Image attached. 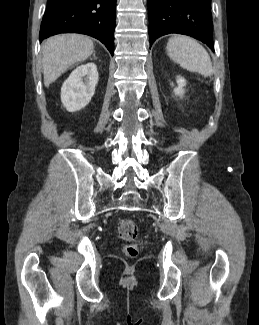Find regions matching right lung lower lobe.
I'll return each instance as SVG.
<instances>
[{
    "label": "right lung lower lobe",
    "instance_id": "right-lung-lower-lobe-1",
    "mask_svg": "<svg viewBox=\"0 0 259 325\" xmlns=\"http://www.w3.org/2000/svg\"><path fill=\"white\" fill-rule=\"evenodd\" d=\"M116 0H48L40 41L59 33H82L100 40L114 53Z\"/></svg>",
    "mask_w": 259,
    "mask_h": 325
}]
</instances>
